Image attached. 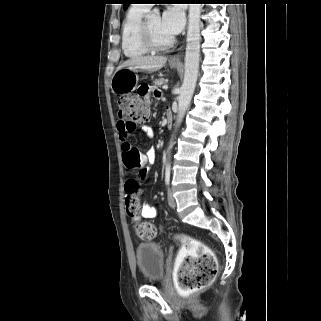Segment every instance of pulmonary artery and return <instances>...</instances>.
<instances>
[{"mask_svg": "<svg viewBox=\"0 0 321 321\" xmlns=\"http://www.w3.org/2000/svg\"><path fill=\"white\" fill-rule=\"evenodd\" d=\"M145 6H147L148 8H150V7H151V5H145Z\"/></svg>", "mask_w": 321, "mask_h": 321, "instance_id": "obj_1", "label": "pulmonary artery"}]
</instances>
